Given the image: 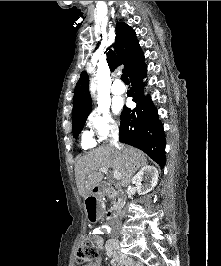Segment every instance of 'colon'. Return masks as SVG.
Listing matches in <instances>:
<instances>
[{"label":"colon","instance_id":"5ec220e1","mask_svg":"<svg viewBox=\"0 0 221 266\" xmlns=\"http://www.w3.org/2000/svg\"><path fill=\"white\" fill-rule=\"evenodd\" d=\"M77 258L81 262H92L97 258V249L88 236H84L79 244Z\"/></svg>","mask_w":221,"mask_h":266}]
</instances>
